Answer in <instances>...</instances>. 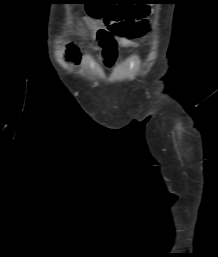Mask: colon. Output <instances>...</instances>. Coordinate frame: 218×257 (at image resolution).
<instances>
[{
  "label": "colon",
  "instance_id": "obj_1",
  "mask_svg": "<svg viewBox=\"0 0 218 257\" xmlns=\"http://www.w3.org/2000/svg\"><path fill=\"white\" fill-rule=\"evenodd\" d=\"M81 10H90L92 17L102 18L111 32L119 36L132 38L148 30L150 5H81ZM69 55L78 60V49L71 46Z\"/></svg>",
  "mask_w": 218,
  "mask_h": 257
}]
</instances>
